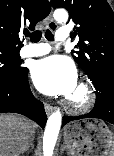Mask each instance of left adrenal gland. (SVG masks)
I'll return each mask as SVG.
<instances>
[{
    "label": "left adrenal gland",
    "mask_w": 114,
    "mask_h": 156,
    "mask_svg": "<svg viewBox=\"0 0 114 156\" xmlns=\"http://www.w3.org/2000/svg\"><path fill=\"white\" fill-rule=\"evenodd\" d=\"M65 149H66V147H65V145L63 144V145L61 146V148H60V152H61V153L64 152Z\"/></svg>",
    "instance_id": "a2214340"
}]
</instances>
